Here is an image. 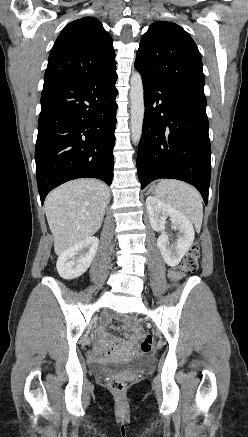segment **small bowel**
Here are the masks:
<instances>
[{
  "label": "small bowel",
  "mask_w": 248,
  "mask_h": 437,
  "mask_svg": "<svg viewBox=\"0 0 248 437\" xmlns=\"http://www.w3.org/2000/svg\"><path fill=\"white\" fill-rule=\"evenodd\" d=\"M140 332L137 328H133L132 333L127 341H114L110 336L103 333V342L100 347L96 349V354H110L113 351H128L135 346Z\"/></svg>",
  "instance_id": "obj_1"
}]
</instances>
